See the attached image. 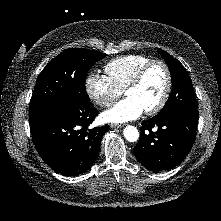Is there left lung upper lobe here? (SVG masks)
<instances>
[{
    "mask_svg": "<svg viewBox=\"0 0 221 221\" xmlns=\"http://www.w3.org/2000/svg\"><path fill=\"white\" fill-rule=\"evenodd\" d=\"M158 51L167 63L172 79L171 94L165 106L158 114L180 111L198 115L193 85L186 69L167 52L161 49H158Z\"/></svg>",
    "mask_w": 221,
    "mask_h": 221,
    "instance_id": "1",
    "label": "left lung upper lobe"
}]
</instances>
